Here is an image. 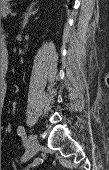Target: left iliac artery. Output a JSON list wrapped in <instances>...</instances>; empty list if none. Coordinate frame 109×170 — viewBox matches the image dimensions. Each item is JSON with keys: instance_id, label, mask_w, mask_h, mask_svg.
Returning <instances> with one entry per match:
<instances>
[{"instance_id": "44dca946", "label": "left iliac artery", "mask_w": 109, "mask_h": 170, "mask_svg": "<svg viewBox=\"0 0 109 170\" xmlns=\"http://www.w3.org/2000/svg\"><path fill=\"white\" fill-rule=\"evenodd\" d=\"M17 133H18V135L21 137V138H23L24 136H25V128L23 127V126H19L18 128H17Z\"/></svg>"}]
</instances>
